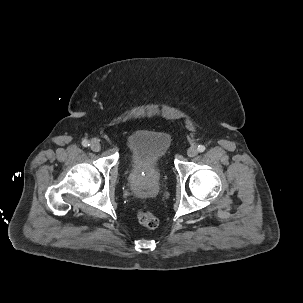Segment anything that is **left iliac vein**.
I'll use <instances>...</instances> for the list:
<instances>
[{"instance_id": "obj_1", "label": "left iliac vein", "mask_w": 303, "mask_h": 303, "mask_svg": "<svg viewBox=\"0 0 303 303\" xmlns=\"http://www.w3.org/2000/svg\"><path fill=\"white\" fill-rule=\"evenodd\" d=\"M198 154V150H197V148L195 147V146H192V147H190L188 150H187V155L189 156V157H194V156H196Z\"/></svg>"}]
</instances>
